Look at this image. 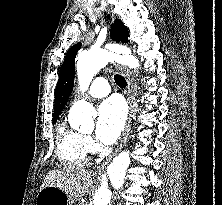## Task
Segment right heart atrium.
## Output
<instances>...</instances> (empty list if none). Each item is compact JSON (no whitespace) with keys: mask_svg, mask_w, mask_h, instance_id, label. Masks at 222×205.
<instances>
[{"mask_svg":"<svg viewBox=\"0 0 222 205\" xmlns=\"http://www.w3.org/2000/svg\"><path fill=\"white\" fill-rule=\"evenodd\" d=\"M85 142L88 151L93 152L95 150V143L90 137H85Z\"/></svg>","mask_w":222,"mask_h":205,"instance_id":"right-heart-atrium-1","label":"right heart atrium"}]
</instances>
